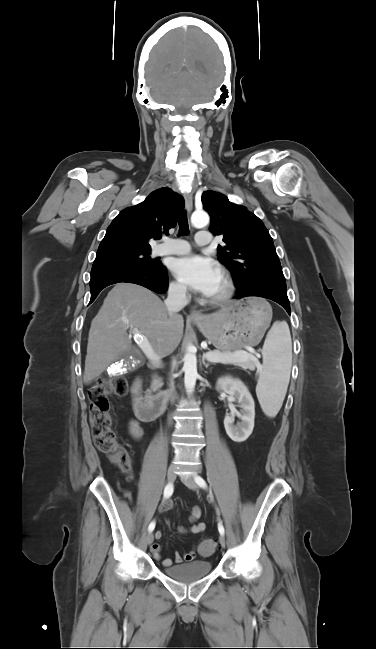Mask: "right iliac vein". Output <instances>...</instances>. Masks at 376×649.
I'll return each mask as SVG.
<instances>
[{
	"instance_id": "right-iliac-vein-1",
	"label": "right iliac vein",
	"mask_w": 376,
	"mask_h": 649,
	"mask_svg": "<svg viewBox=\"0 0 376 649\" xmlns=\"http://www.w3.org/2000/svg\"><path fill=\"white\" fill-rule=\"evenodd\" d=\"M175 477H176L175 476V467L170 466L169 469H168V472H167V480L169 482H173L175 480ZM153 540H154V535H153L152 532H149L147 537H146L147 544L148 545L152 544Z\"/></svg>"
}]
</instances>
